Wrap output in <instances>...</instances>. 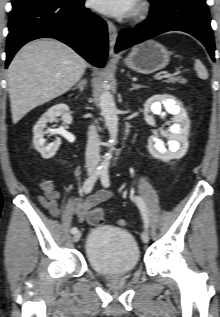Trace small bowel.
Returning a JSON list of instances; mask_svg holds the SVG:
<instances>
[{
  "label": "small bowel",
  "instance_id": "c3829d8e",
  "mask_svg": "<svg viewBox=\"0 0 220 317\" xmlns=\"http://www.w3.org/2000/svg\"><path fill=\"white\" fill-rule=\"evenodd\" d=\"M38 187L42 192V194L38 197L40 204L52 216H59L60 208L58 205V201L60 199V193L56 190L53 183H51L50 181H40ZM111 196V191L100 190L88 196L86 199L74 198L65 206V209L76 216L80 221H83L86 215L93 208H95L100 203L108 200Z\"/></svg>",
  "mask_w": 220,
  "mask_h": 317
}]
</instances>
